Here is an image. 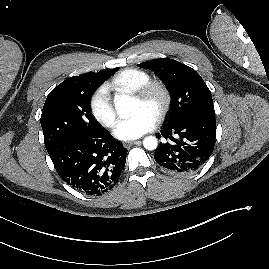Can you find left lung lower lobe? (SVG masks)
<instances>
[{
    "label": "left lung lower lobe",
    "mask_w": 269,
    "mask_h": 269,
    "mask_svg": "<svg viewBox=\"0 0 269 269\" xmlns=\"http://www.w3.org/2000/svg\"><path fill=\"white\" fill-rule=\"evenodd\" d=\"M164 140L155 151V161L176 175L198 171L210 158L216 142L215 116H193L169 124L156 135Z\"/></svg>",
    "instance_id": "obj_1"
}]
</instances>
